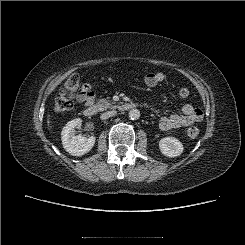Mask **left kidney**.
<instances>
[{
	"label": "left kidney",
	"instance_id": "obj_1",
	"mask_svg": "<svg viewBox=\"0 0 245 245\" xmlns=\"http://www.w3.org/2000/svg\"><path fill=\"white\" fill-rule=\"evenodd\" d=\"M161 153L167 157H176L182 154L183 145L174 137H164L159 141Z\"/></svg>",
	"mask_w": 245,
	"mask_h": 245
}]
</instances>
